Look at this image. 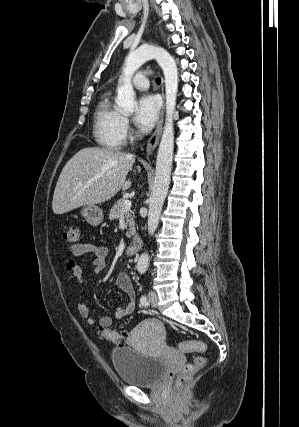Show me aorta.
Listing matches in <instances>:
<instances>
[{
  "instance_id": "1",
  "label": "aorta",
  "mask_w": 299,
  "mask_h": 427,
  "mask_svg": "<svg viewBox=\"0 0 299 427\" xmlns=\"http://www.w3.org/2000/svg\"><path fill=\"white\" fill-rule=\"evenodd\" d=\"M151 59L157 61L164 73L166 118L157 154L155 181L149 199V235H153L158 227L162 206L170 184L174 150L173 114L178 90V69L173 57L165 49L152 45H142L138 49L131 51L125 59L123 74L120 77V84L117 88L118 95L116 99V104L120 109L129 113L134 111L136 102L131 79L135 71L146 61ZM148 265L149 255L147 252H144L138 259L137 268L139 270H145Z\"/></svg>"
}]
</instances>
